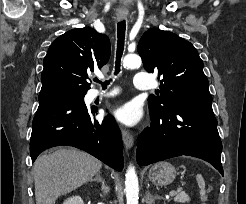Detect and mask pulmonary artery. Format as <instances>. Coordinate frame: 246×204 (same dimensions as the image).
I'll use <instances>...</instances> for the list:
<instances>
[{
    "label": "pulmonary artery",
    "instance_id": "1",
    "mask_svg": "<svg viewBox=\"0 0 246 204\" xmlns=\"http://www.w3.org/2000/svg\"><path fill=\"white\" fill-rule=\"evenodd\" d=\"M134 86L135 88H137L138 90H148L152 87V83H151V78L150 75L146 72H138L135 74L134 76ZM114 94H116V91L110 92V93H106V92H100L97 90H93L90 94V97L92 99H96V98H107V97H111Z\"/></svg>",
    "mask_w": 246,
    "mask_h": 204
}]
</instances>
